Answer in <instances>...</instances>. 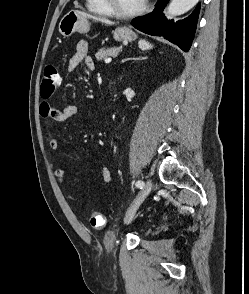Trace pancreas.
I'll return each instance as SVG.
<instances>
[{"instance_id":"cf45deb5","label":"pancreas","mask_w":249,"mask_h":294,"mask_svg":"<svg viewBox=\"0 0 249 294\" xmlns=\"http://www.w3.org/2000/svg\"><path fill=\"white\" fill-rule=\"evenodd\" d=\"M119 52V48L117 47H113V48H103L100 49L96 54L95 57L98 61L100 60H105L106 58L110 57V56H115L117 55Z\"/></svg>"}]
</instances>
